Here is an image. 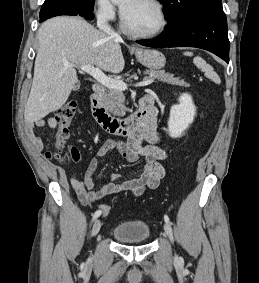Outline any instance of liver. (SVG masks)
<instances>
[{"label":"liver","instance_id":"6515ba94","mask_svg":"<svg viewBox=\"0 0 259 283\" xmlns=\"http://www.w3.org/2000/svg\"><path fill=\"white\" fill-rule=\"evenodd\" d=\"M38 41L33 83L24 112L28 123L41 120L68 100L78 79L75 67L66 65L97 66L115 74L124 69L119 41L81 17L48 19L38 31Z\"/></svg>","mask_w":259,"mask_h":283}]
</instances>
